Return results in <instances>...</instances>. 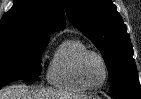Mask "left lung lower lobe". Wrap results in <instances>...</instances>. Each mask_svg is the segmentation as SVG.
Returning a JSON list of instances; mask_svg holds the SVG:
<instances>
[{
	"label": "left lung lower lobe",
	"instance_id": "0a47b994",
	"mask_svg": "<svg viewBox=\"0 0 141 99\" xmlns=\"http://www.w3.org/2000/svg\"><path fill=\"white\" fill-rule=\"evenodd\" d=\"M114 99H139L140 97H134V96H126V97H119V96H112Z\"/></svg>",
	"mask_w": 141,
	"mask_h": 99
}]
</instances>
